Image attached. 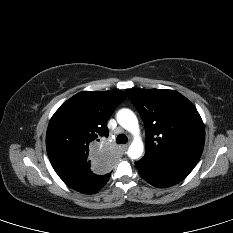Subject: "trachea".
Returning <instances> with one entry per match:
<instances>
[{
    "label": "trachea",
    "mask_w": 233,
    "mask_h": 233,
    "mask_svg": "<svg viewBox=\"0 0 233 233\" xmlns=\"http://www.w3.org/2000/svg\"><path fill=\"white\" fill-rule=\"evenodd\" d=\"M118 144H125L128 141V138L125 134H119L116 139Z\"/></svg>",
    "instance_id": "3493384b"
}]
</instances>
